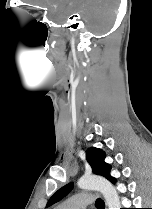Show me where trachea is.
I'll return each mask as SVG.
<instances>
[{
    "label": "trachea",
    "instance_id": "trachea-1",
    "mask_svg": "<svg viewBox=\"0 0 152 209\" xmlns=\"http://www.w3.org/2000/svg\"><path fill=\"white\" fill-rule=\"evenodd\" d=\"M95 205H96L97 208L103 207L104 206V201L101 198H98L96 200Z\"/></svg>",
    "mask_w": 152,
    "mask_h": 209
}]
</instances>
